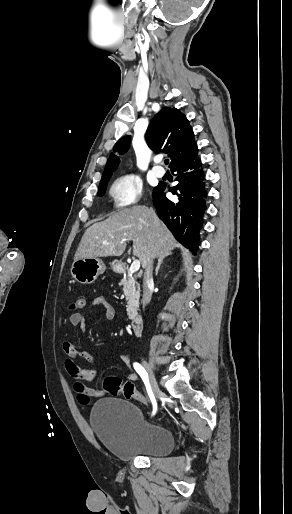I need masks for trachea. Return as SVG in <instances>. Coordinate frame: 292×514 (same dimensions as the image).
<instances>
[{
    "mask_svg": "<svg viewBox=\"0 0 292 514\" xmlns=\"http://www.w3.org/2000/svg\"><path fill=\"white\" fill-rule=\"evenodd\" d=\"M168 163H169V160L165 159V164L168 165Z\"/></svg>",
    "mask_w": 292,
    "mask_h": 514,
    "instance_id": "trachea-1",
    "label": "trachea"
}]
</instances>
